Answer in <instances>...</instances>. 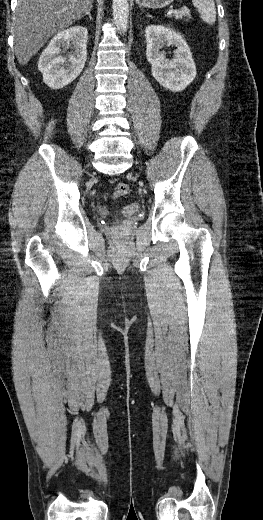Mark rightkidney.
I'll list each match as a JSON object with an SVG mask.
<instances>
[{"mask_svg": "<svg viewBox=\"0 0 263 520\" xmlns=\"http://www.w3.org/2000/svg\"><path fill=\"white\" fill-rule=\"evenodd\" d=\"M88 31L83 26L71 27L55 35L42 52L38 69L44 83L52 89H60L73 82L82 72L87 60ZM72 46L68 58L60 55L61 47Z\"/></svg>", "mask_w": 263, "mask_h": 520, "instance_id": "1", "label": "right kidney"}]
</instances>
